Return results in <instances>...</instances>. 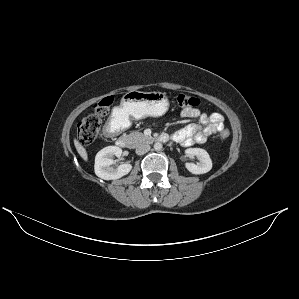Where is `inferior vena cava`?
<instances>
[{"label":"inferior vena cava","instance_id":"1","mask_svg":"<svg viewBox=\"0 0 299 299\" xmlns=\"http://www.w3.org/2000/svg\"><path fill=\"white\" fill-rule=\"evenodd\" d=\"M149 150H150L149 144H139L137 145L135 152L137 155H143L147 153Z\"/></svg>","mask_w":299,"mask_h":299}]
</instances>
